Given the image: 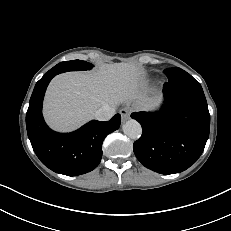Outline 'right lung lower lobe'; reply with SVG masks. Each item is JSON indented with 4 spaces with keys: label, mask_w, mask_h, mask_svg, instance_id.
<instances>
[{
    "label": "right lung lower lobe",
    "mask_w": 231,
    "mask_h": 231,
    "mask_svg": "<svg viewBox=\"0 0 231 231\" xmlns=\"http://www.w3.org/2000/svg\"><path fill=\"white\" fill-rule=\"evenodd\" d=\"M55 75L46 73L35 85L26 114L27 133L34 152L46 167L60 174L77 176L98 166L103 140L119 128L121 116L116 114L109 121L92 120L71 133L52 131L44 122L42 102Z\"/></svg>",
    "instance_id": "right-lung-lower-lobe-1"
}]
</instances>
